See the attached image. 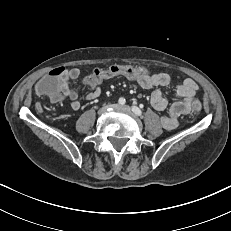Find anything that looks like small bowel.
<instances>
[{
	"label": "small bowel",
	"mask_w": 231,
	"mask_h": 231,
	"mask_svg": "<svg viewBox=\"0 0 231 231\" xmlns=\"http://www.w3.org/2000/svg\"><path fill=\"white\" fill-rule=\"evenodd\" d=\"M80 73V69L78 68L64 69L57 77V84L61 92L59 100L68 99L73 110H78L81 107V103L78 100V94L71 87V82L78 79ZM160 73L164 74L139 76L135 79V86L142 91H150L155 88L169 86L173 79L172 76L165 72ZM197 90V83L194 80L187 78L177 86L175 90V100L173 102H170L159 90H156L151 94V106L158 111H168V113L161 118V124L166 130L175 129L178 125V118L180 116L192 113V110H189L187 105L190 100L197 99ZM100 94V87L95 85L92 87V90L85 95V99L94 100L98 98Z\"/></svg>",
	"instance_id": "1"
}]
</instances>
